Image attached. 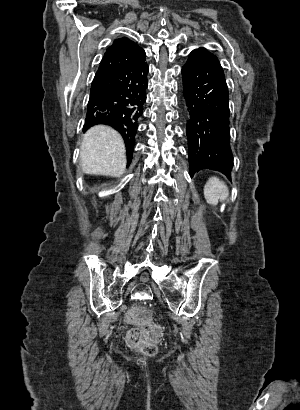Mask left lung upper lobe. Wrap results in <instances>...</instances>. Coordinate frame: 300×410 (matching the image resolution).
Listing matches in <instances>:
<instances>
[{
	"label": "left lung upper lobe",
	"instance_id": "obj_1",
	"mask_svg": "<svg viewBox=\"0 0 300 410\" xmlns=\"http://www.w3.org/2000/svg\"><path fill=\"white\" fill-rule=\"evenodd\" d=\"M191 53L200 55V56L205 57V58H209V59H213V60L218 61V59H217L216 56H214L213 54H211L210 52H208V51H207L205 48H203V47H201V48H199V49H195V50L192 51Z\"/></svg>",
	"mask_w": 300,
	"mask_h": 410
}]
</instances>
